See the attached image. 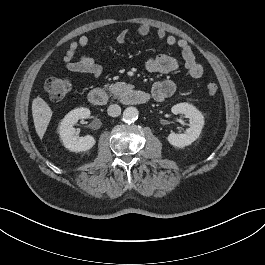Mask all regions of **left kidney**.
Masks as SVG:
<instances>
[{"label":"left kidney","instance_id":"obj_1","mask_svg":"<svg viewBox=\"0 0 265 265\" xmlns=\"http://www.w3.org/2000/svg\"><path fill=\"white\" fill-rule=\"evenodd\" d=\"M171 111L173 114H183L188 118L189 128L183 134H169L168 142L174 147L183 148L196 141L204 126V117L201 112L188 103L176 104L171 108Z\"/></svg>","mask_w":265,"mask_h":265}]
</instances>
